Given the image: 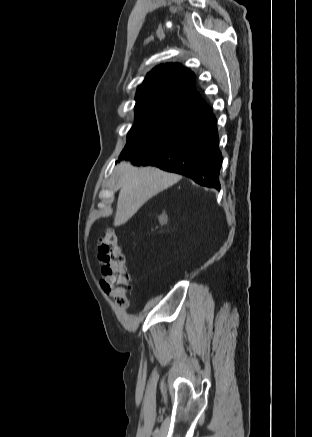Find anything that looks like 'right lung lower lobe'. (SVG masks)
I'll list each match as a JSON object with an SVG mask.
<instances>
[{
	"instance_id": "obj_1",
	"label": "right lung lower lobe",
	"mask_w": 312,
	"mask_h": 437,
	"mask_svg": "<svg viewBox=\"0 0 312 437\" xmlns=\"http://www.w3.org/2000/svg\"><path fill=\"white\" fill-rule=\"evenodd\" d=\"M121 159L136 165L157 166L193 179L196 183L220 189L222 155L218 148L216 118L212 109L202 113L186 130L160 145L129 152Z\"/></svg>"
}]
</instances>
